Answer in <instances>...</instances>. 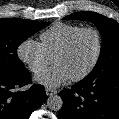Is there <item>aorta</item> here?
<instances>
[{
  "mask_svg": "<svg viewBox=\"0 0 119 119\" xmlns=\"http://www.w3.org/2000/svg\"><path fill=\"white\" fill-rule=\"evenodd\" d=\"M47 106L50 110L59 111L63 106V100L59 95H52L47 99Z\"/></svg>",
  "mask_w": 119,
  "mask_h": 119,
  "instance_id": "1",
  "label": "aorta"
}]
</instances>
